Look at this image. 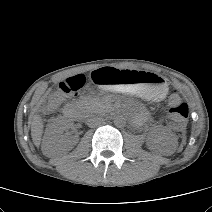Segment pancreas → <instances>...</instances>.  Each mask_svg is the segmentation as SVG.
Instances as JSON below:
<instances>
[{"label":"pancreas","mask_w":212,"mask_h":212,"mask_svg":"<svg viewBox=\"0 0 212 212\" xmlns=\"http://www.w3.org/2000/svg\"><path fill=\"white\" fill-rule=\"evenodd\" d=\"M79 104L85 112L97 111L102 106L101 101L92 96L81 98V100H79Z\"/></svg>","instance_id":"pancreas-1"}]
</instances>
